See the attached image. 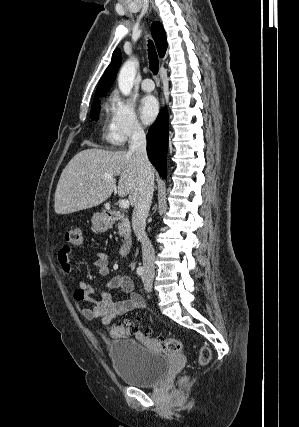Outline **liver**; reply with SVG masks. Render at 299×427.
I'll return each instance as SVG.
<instances>
[{
  "instance_id": "obj_1",
  "label": "liver",
  "mask_w": 299,
  "mask_h": 427,
  "mask_svg": "<svg viewBox=\"0 0 299 427\" xmlns=\"http://www.w3.org/2000/svg\"><path fill=\"white\" fill-rule=\"evenodd\" d=\"M105 173L111 178L104 179ZM127 196L131 205L139 197V173L136 156L128 151L91 148L77 153L64 168L55 191L57 214H70L92 208L106 201L116 189Z\"/></svg>"
}]
</instances>
